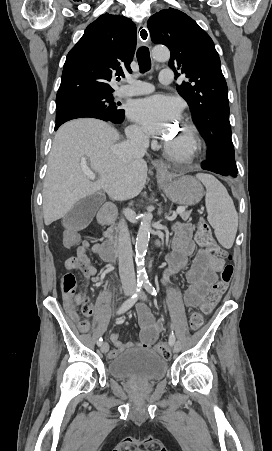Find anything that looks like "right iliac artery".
I'll return each mask as SVG.
<instances>
[{
    "instance_id": "right-iliac-artery-1",
    "label": "right iliac artery",
    "mask_w": 272,
    "mask_h": 451,
    "mask_svg": "<svg viewBox=\"0 0 272 451\" xmlns=\"http://www.w3.org/2000/svg\"><path fill=\"white\" fill-rule=\"evenodd\" d=\"M143 286H144V282H143V281L137 283L136 289H135V291L133 292L132 296H131L130 298H128V299L123 303V305H122V306L119 308V310L117 311V314H121V313L126 312L128 309H130V308L137 302V300H138V298H139V296H140V294H141V291H142ZM102 342H103V339L100 338V339L97 341V345H98V346H101Z\"/></svg>"
}]
</instances>
